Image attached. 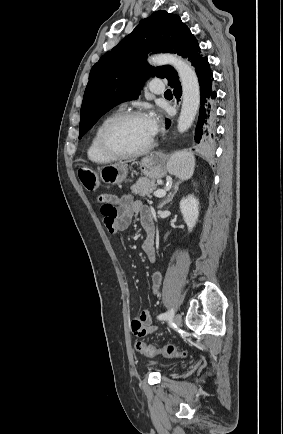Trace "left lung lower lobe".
<instances>
[{
	"mask_svg": "<svg viewBox=\"0 0 283 434\" xmlns=\"http://www.w3.org/2000/svg\"><path fill=\"white\" fill-rule=\"evenodd\" d=\"M200 85V109L195 130V142L202 147H211L215 139L217 95L208 59H203L195 67ZM177 100L181 97V84L170 85ZM170 120H166L167 128Z\"/></svg>",
	"mask_w": 283,
	"mask_h": 434,
	"instance_id": "0a47b994",
	"label": "left lung lower lobe"
}]
</instances>
